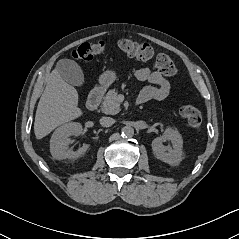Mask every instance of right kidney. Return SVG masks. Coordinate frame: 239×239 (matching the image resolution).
I'll return each mask as SVG.
<instances>
[{"instance_id":"obj_1","label":"right kidney","mask_w":239,"mask_h":239,"mask_svg":"<svg viewBox=\"0 0 239 239\" xmlns=\"http://www.w3.org/2000/svg\"><path fill=\"white\" fill-rule=\"evenodd\" d=\"M82 132V125L77 122L66 123L57 128L50 140V152L58 160L66 158H78L83 155L89 148V144H83L81 148L73 152L68 149L71 142L70 136H78Z\"/></svg>"}]
</instances>
